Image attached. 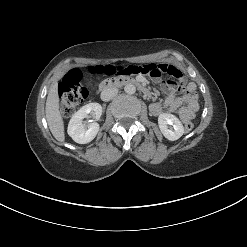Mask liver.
Returning a JSON list of instances; mask_svg holds the SVG:
<instances>
[{
  "label": "liver",
  "mask_w": 247,
  "mask_h": 247,
  "mask_svg": "<svg viewBox=\"0 0 247 247\" xmlns=\"http://www.w3.org/2000/svg\"><path fill=\"white\" fill-rule=\"evenodd\" d=\"M46 119L52 135L59 142H64V122L59 111V96L57 91V83H54L48 93L46 100Z\"/></svg>",
  "instance_id": "6515ba94"
}]
</instances>
